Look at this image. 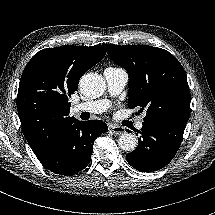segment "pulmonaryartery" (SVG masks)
Listing matches in <instances>:
<instances>
[{"instance_id": "pulmonary-artery-1", "label": "pulmonary artery", "mask_w": 215, "mask_h": 215, "mask_svg": "<svg viewBox=\"0 0 215 215\" xmlns=\"http://www.w3.org/2000/svg\"><path fill=\"white\" fill-rule=\"evenodd\" d=\"M104 77L107 83V89L112 96L118 95L125 87L128 81V73L123 68L107 67L104 70ZM111 103L107 99H100L95 101H88L79 103L73 106V113L88 112L90 114H101L105 112ZM134 127L136 130L141 131L144 129V116L135 122Z\"/></svg>"}]
</instances>
